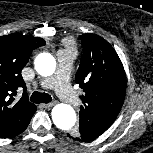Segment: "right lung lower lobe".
Instances as JSON below:
<instances>
[{"instance_id": "1", "label": "right lung lower lobe", "mask_w": 153, "mask_h": 153, "mask_svg": "<svg viewBox=\"0 0 153 153\" xmlns=\"http://www.w3.org/2000/svg\"><path fill=\"white\" fill-rule=\"evenodd\" d=\"M33 114L31 116H29L26 120H24V122L13 133H11L8 136H5L3 138H11V137H14V136L21 134L27 128L28 124L31 121Z\"/></svg>"}]
</instances>
